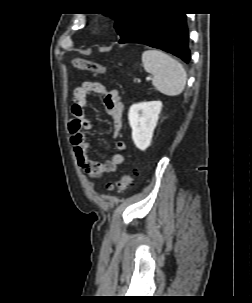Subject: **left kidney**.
Here are the masks:
<instances>
[{
  "label": "left kidney",
  "instance_id": "obj_1",
  "mask_svg": "<svg viewBox=\"0 0 252 303\" xmlns=\"http://www.w3.org/2000/svg\"><path fill=\"white\" fill-rule=\"evenodd\" d=\"M161 108V101L141 102L130 107L128 119L132 139L138 149L144 151L150 146Z\"/></svg>",
  "mask_w": 252,
  "mask_h": 303
}]
</instances>
